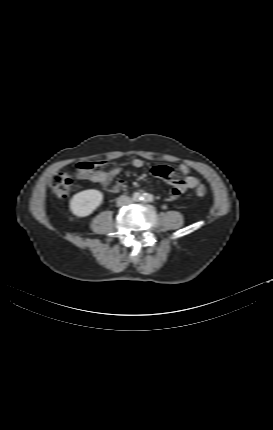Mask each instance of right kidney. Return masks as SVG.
<instances>
[{
	"instance_id": "right-kidney-1",
	"label": "right kidney",
	"mask_w": 273,
	"mask_h": 430,
	"mask_svg": "<svg viewBox=\"0 0 273 430\" xmlns=\"http://www.w3.org/2000/svg\"><path fill=\"white\" fill-rule=\"evenodd\" d=\"M103 194L96 189L76 193L70 200V210L77 217L92 214L102 203Z\"/></svg>"
}]
</instances>
